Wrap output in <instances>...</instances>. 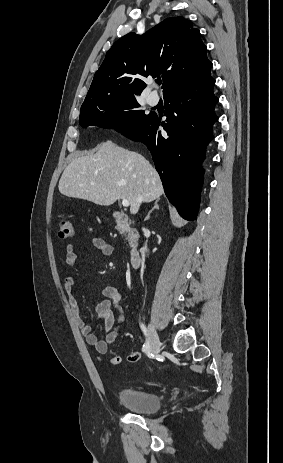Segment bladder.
Instances as JSON below:
<instances>
[{
  "instance_id": "bladder-1",
  "label": "bladder",
  "mask_w": 283,
  "mask_h": 463,
  "mask_svg": "<svg viewBox=\"0 0 283 463\" xmlns=\"http://www.w3.org/2000/svg\"><path fill=\"white\" fill-rule=\"evenodd\" d=\"M118 399L125 407L140 414H153L161 407L158 394L139 389L122 388L118 392Z\"/></svg>"
}]
</instances>
